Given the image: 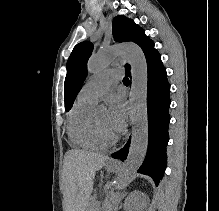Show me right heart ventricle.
Returning <instances> with one entry per match:
<instances>
[{
  "instance_id": "1",
  "label": "right heart ventricle",
  "mask_w": 219,
  "mask_h": 211,
  "mask_svg": "<svg viewBox=\"0 0 219 211\" xmlns=\"http://www.w3.org/2000/svg\"><path fill=\"white\" fill-rule=\"evenodd\" d=\"M93 106L94 103L77 98L68 114L67 131L75 144L89 150H101L108 143L95 127Z\"/></svg>"
}]
</instances>
